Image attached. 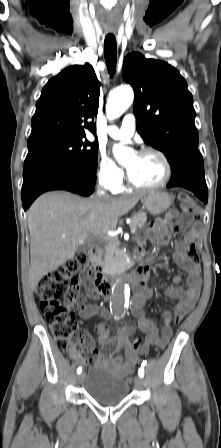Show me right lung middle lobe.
I'll list each match as a JSON object with an SVG mask.
<instances>
[{
    "label": "right lung middle lobe",
    "instance_id": "dd1d6c3e",
    "mask_svg": "<svg viewBox=\"0 0 221 448\" xmlns=\"http://www.w3.org/2000/svg\"><path fill=\"white\" fill-rule=\"evenodd\" d=\"M84 137L66 138L28 148L26 159L52 157L81 168L95 170L98 145L84 140Z\"/></svg>",
    "mask_w": 221,
    "mask_h": 448
}]
</instances>
